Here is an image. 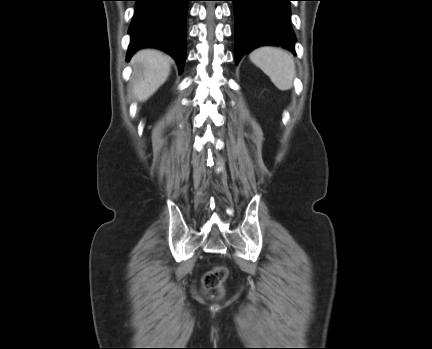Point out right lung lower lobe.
I'll return each mask as SVG.
<instances>
[{
    "label": "right lung lower lobe",
    "mask_w": 432,
    "mask_h": 349,
    "mask_svg": "<svg viewBox=\"0 0 432 349\" xmlns=\"http://www.w3.org/2000/svg\"><path fill=\"white\" fill-rule=\"evenodd\" d=\"M127 60L140 48L155 47L170 54L180 73L186 56V15L189 0H134Z\"/></svg>",
    "instance_id": "1"
}]
</instances>
